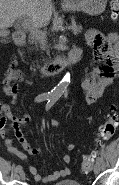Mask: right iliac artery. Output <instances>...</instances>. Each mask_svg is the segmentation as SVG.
<instances>
[{
  "label": "right iliac artery",
  "instance_id": "right-iliac-artery-1",
  "mask_svg": "<svg viewBox=\"0 0 119 185\" xmlns=\"http://www.w3.org/2000/svg\"><path fill=\"white\" fill-rule=\"evenodd\" d=\"M58 97V94L57 93H43V94H40L38 95L36 98H35V102H42V101H45V100H50L52 98H56ZM22 170V166L21 165H17L16 166V171L19 172Z\"/></svg>",
  "mask_w": 119,
  "mask_h": 185
}]
</instances>
